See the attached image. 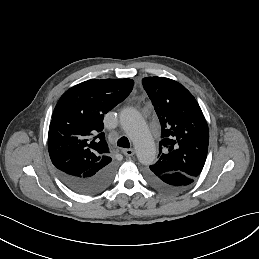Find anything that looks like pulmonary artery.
<instances>
[{
  "label": "pulmonary artery",
  "mask_w": 259,
  "mask_h": 259,
  "mask_svg": "<svg viewBox=\"0 0 259 259\" xmlns=\"http://www.w3.org/2000/svg\"><path fill=\"white\" fill-rule=\"evenodd\" d=\"M120 126H121L122 130L130 138H134L139 129L140 123L134 116L128 114V115L121 117Z\"/></svg>",
  "instance_id": "e3ab8cb5"
}]
</instances>
